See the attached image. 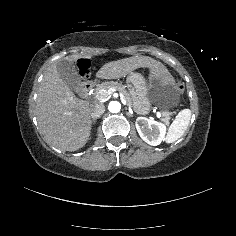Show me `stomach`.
<instances>
[{
    "label": "stomach",
    "mask_w": 236,
    "mask_h": 236,
    "mask_svg": "<svg viewBox=\"0 0 236 236\" xmlns=\"http://www.w3.org/2000/svg\"><path fill=\"white\" fill-rule=\"evenodd\" d=\"M126 83L137 114H148L152 105L168 110L180 101L174 79L163 71L153 72L148 80L140 73L131 72Z\"/></svg>",
    "instance_id": "0dacf381"
}]
</instances>
